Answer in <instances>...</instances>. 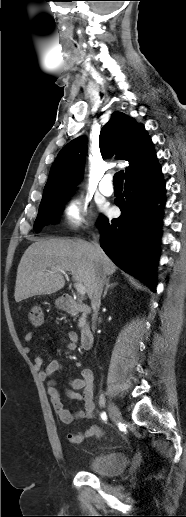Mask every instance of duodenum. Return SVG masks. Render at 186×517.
Returning a JSON list of instances; mask_svg holds the SVG:
<instances>
[{"instance_id": "duodenum-1", "label": "duodenum", "mask_w": 186, "mask_h": 517, "mask_svg": "<svg viewBox=\"0 0 186 517\" xmlns=\"http://www.w3.org/2000/svg\"><path fill=\"white\" fill-rule=\"evenodd\" d=\"M63 309L66 313L77 314L80 313L83 318H86L91 313V307L74 300L70 295L66 294L61 299ZM93 332L91 328L83 324L80 328V343L84 350H88L93 343Z\"/></svg>"}]
</instances>
